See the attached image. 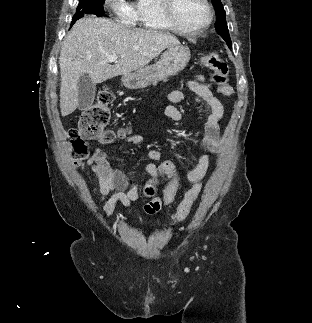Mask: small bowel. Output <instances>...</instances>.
<instances>
[{"label":"small bowel","instance_id":"small-bowel-1","mask_svg":"<svg viewBox=\"0 0 312 323\" xmlns=\"http://www.w3.org/2000/svg\"><path fill=\"white\" fill-rule=\"evenodd\" d=\"M187 88L193 93L192 96L181 89H173L168 93L167 98L172 104L190 99L196 104H202L207 111L203 138L207 153L203 154L187 172V180L191 183H197L203 179L209 168L211 154L220 152L222 148L220 127L224 108L203 75L198 74L195 79L188 81ZM164 115L174 122L183 120V113L173 105L165 107ZM127 141L132 145H140L144 138L136 134L129 136ZM147 155L150 163L146 165L145 170L149 176H155V174H151V167H157L154 160L155 158H162V154L159 149L151 148ZM86 165L98 180L100 202L103 203L102 212L105 217L112 215L118 203L129 208L138 199L139 184L135 183L130 186L128 176L109 162L103 150L96 149L86 160ZM156 198L160 199L159 197Z\"/></svg>","mask_w":312,"mask_h":323}]
</instances>
